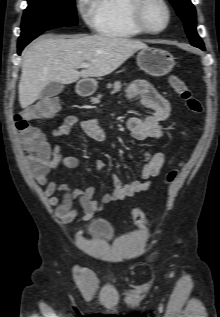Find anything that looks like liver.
Here are the masks:
<instances>
[{"label":"liver","instance_id":"6515ba94","mask_svg":"<svg viewBox=\"0 0 220 317\" xmlns=\"http://www.w3.org/2000/svg\"><path fill=\"white\" fill-rule=\"evenodd\" d=\"M148 46L138 40L107 35L66 39L45 36L32 42L23 53L19 82L21 108L33 104L51 81L71 84L80 78L102 77L112 73L136 51ZM89 63L78 71V65Z\"/></svg>","mask_w":220,"mask_h":317}]
</instances>
